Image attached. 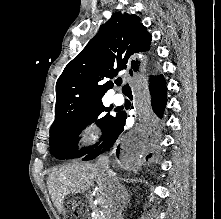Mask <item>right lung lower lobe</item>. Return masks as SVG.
<instances>
[{"mask_svg": "<svg viewBox=\"0 0 221 219\" xmlns=\"http://www.w3.org/2000/svg\"><path fill=\"white\" fill-rule=\"evenodd\" d=\"M141 87H143V89H145V92H147L145 85H141ZM148 89H149L148 92L149 100L151 102L152 110L158 117H162L167 102V97H166L167 87L165 85L164 78L162 76L152 77L150 79V84ZM123 92L126 95H128L130 98H132V91L129 87H127ZM126 118L127 114L125 112L117 113L113 125L111 126L110 130L107 132L105 137L103 138L102 144L89 151L88 154L82 160L88 161L96 158L100 153H102L100 151L101 148L107 150L112 148L116 153L117 157H121V159H125L132 154L133 155L136 154L135 152L136 148H134V145L125 143L120 137V134L124 130ZM151 123H152L151 118L149 119L147 118L144 121L146 127H149ZM145 140H147L145 133L141 134L138 137V141L144 142ZM151 156H152L151 153L148 154L146 156V159L148 160V158H151Z\"/></svg>", "mask_w": 221, "mask_h": 219, "instance_id": "right-lung-lower-lobe-1", "label": "right lung lower lobe"}]
</instances>
